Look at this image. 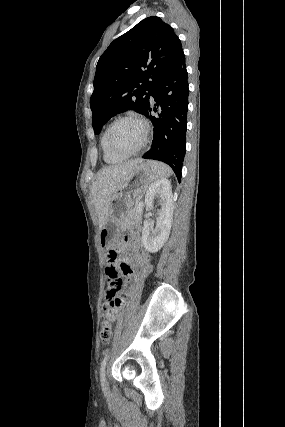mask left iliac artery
Masks as SVG:
<instances>
[{"label": "left iliac artery", "instance_id": "44dca946", "mask_svg": "<svg viewBox=\"0 0 285 427\" xmlns=\"http://www.w3.org/2000/svg\"><path fill=\"white\" fill-rule=\"evenodd\" d=\"M108 357H109V352L107 351L105 353V357L101 363V368H100V380L103 385L107 384L106 377H105V367H106Z\"/></svg>", "mask_w": 285, "mask_h": 427}]
</instances>
